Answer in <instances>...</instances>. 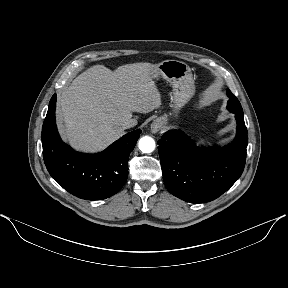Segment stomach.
<instances>
[{
  "mask_svg": "<svg viewBox=\"0 0 288 288\" xmlns=\"http://www.w3.org/2000/svg\"><path fill=\"white\" fill-rule=\"evenodd\" d=\"M151 74L153 79L156 80L162 77L173 88L172 112L156 120L166 124L170 118L177 119L181 108L193 97L195 86L192 72L190 67L182 61L165 60L159 64L152 65Z\"/></svg>",
  "mask_w": 288,
  "mask_h": 288,
  "instance_id": "0dacf381",
  "label": "stomach"
}]
</instances>
